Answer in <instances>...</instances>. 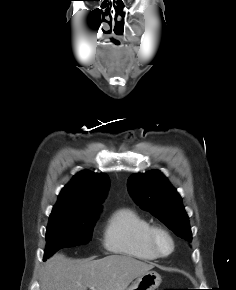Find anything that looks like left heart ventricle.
<instances>
[{
    "instance_id": "1",
    "label": "left heart ventricle",
    "mask_w": 236,
    "mask_h": 290,
    "mask_svg": "<svg viewBox=\"0 0 236 290\" xmlns=\"http://www.w3.org/2000/svg\"><path fill=\"white\" fill-rule=\"evenodd\" d=\"M161 246H162L163 250H165V251H167L168 248H169L168 242L166 240H164V239L161 240Z\"/></svg>"
}]
</instances>
